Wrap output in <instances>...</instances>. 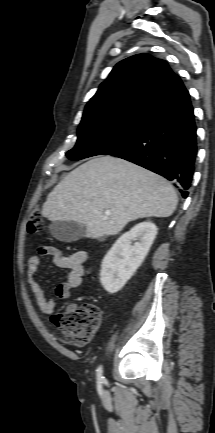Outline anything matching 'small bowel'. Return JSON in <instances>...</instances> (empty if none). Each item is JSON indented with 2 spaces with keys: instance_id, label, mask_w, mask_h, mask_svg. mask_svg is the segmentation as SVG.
Returning a JSON list of instances; mask_svg holds the SVG:
<instances>
[{
  "instance_id": "1",
  "label": "small bowel",
  "mask_w": 215,
  "mask_h": 433,
  "mask_svg": "<svg viewBox=\"0 0 215 433\" xmlns=\"http://www.w3.org/2000/svg\"><path fill=\"white\" fill-rule=\"evenodd\" d=\"M41 255L51 259L53 265L57 268L68 270L66 280L58 284L55 288V295L60 299H68L71 297L73 290L77 289L85 274V263L88 259L86 250H78L69 255H63L59 249L50 245H43L39 248ZM39 258L36 255H31L27 259V276L28 283L32 294L35 298L37 306L46 314L51 313L55 309V302L48 298L41 285L39 284L36 273L39 268ZM74 308L73 305L70 309Z\"/></svg>"
}]
</instances>
